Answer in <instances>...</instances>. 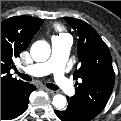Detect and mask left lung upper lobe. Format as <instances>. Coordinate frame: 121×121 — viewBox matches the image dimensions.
I'll use <instances>...</instances> for the list:
<instances>
[{"instance_id":"5c2ea615","label":"left lung upper lobe","mask_w":121,"mask_h":121,"mask_svg":"<svg viewBox=\"0 0 121 121\" xmlns=\"http://www.w3.org/2000/svg\"><path fill=\"white\" fill-rule=\"evenodd\" d=\"M65 20L78 33L77 53L80 68L73 77L76 94L70 104L81 111L96 116L108 102L114 87V70L110 51L98 33L86 22L65 17ZM68 98V97H67Z\"/></svg>"}]
</instances>
